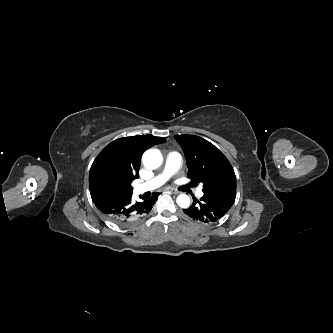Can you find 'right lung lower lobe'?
<instances>
[{
	"label": "right lung lower lobe",
	"instance_id": "obj_1",
	"mask_svg": "<svg viewBox=\"0 0 333 333\" xmlns=\"http://www.w3.org/2000/svg\"><path fill=\"white\" fill-rule=\"evenodd\" d=\"M159 193L133 204L132 193L98 191L91 195L96 207L113 223L130 226L144 218L155 204Z\"/></svg>",
	"mask_w": 333,
	"mask_h": 333
}]
</instances>
